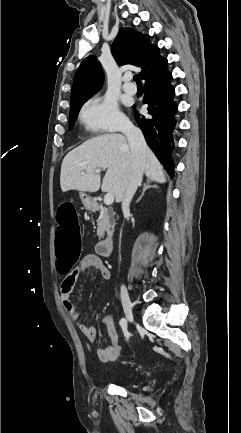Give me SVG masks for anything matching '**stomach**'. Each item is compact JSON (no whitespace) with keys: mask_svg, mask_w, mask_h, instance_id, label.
Returning <instances> with one entry per match:
<instances>
[{"mask_svg":"<svg viewBox=\"0 0 241 433\" xmlns=\"http://www.w3.org/2000/svg\"><path fill=\"white\" fill-rule=\"evenodd\" d=\"M80 199H81V201H82L84 207H85L87 210H92V208H93V201H92L91 197L87 196V195H86L85 193H83V192H80Z\"/></svg>","mask_w":241,"mask_h":433,"instance_id":"stomach-1","label":"stomach"}]
</instances>
